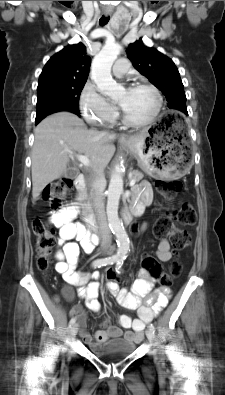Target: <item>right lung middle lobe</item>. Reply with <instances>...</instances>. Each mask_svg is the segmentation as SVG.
I'll use <instances>...</instances> for the list:
<instances>
[{
	"label": "right lung middle lobe",
	"instance_id": "right-lung-middle-lobe-1",
	"mask_svg": "<svg viewBox=\"0 0 225 395\" xmlns=\"http://www.w3.org/2000/svg\"><path fill=\"white\" fill-rule=\"evenodd\" d=\"M85 83L72 81L38 85L36 119L66 107L79 109V97Z\"/></svg>",
	"mask_w": 225,
	"mask_h": 395
}]
</instances>
